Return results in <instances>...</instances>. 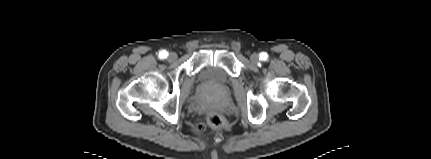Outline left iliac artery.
Segmentation results:
<instances>
[{"instance_id":"44dca946","label":"left iliac artery","mask_w":431,"mask_h":159,"mask_svg":"<svg viewBox=\"0 0 431 159\" xmlns=\"http://www.w3.org/2000/svg\"><path fill=\"white\" fill-rule=\"evenodd\" d=\"M260 59H262V60H266V59H267V53L262 52V53L260 54Z\"/></svg>"}]
</instances>
